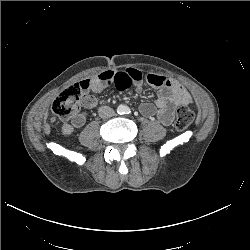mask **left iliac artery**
<instances>
[{"label": "left iliac artery", "mask_w": 250, "mask_h": 250, "mask_svg": "<svg viewBox=\"0 0 250 250\" xmlns=\"http://www.w3.org/2000/svg\"><path fill=\"white\" fill-rule=\"evenodd\" d=\"M126 112H125V114H130L131 113V111H130V109L129 108H126V110H125Z\"/></svg>", "instance_id": "44dca946"}]
</instances>
